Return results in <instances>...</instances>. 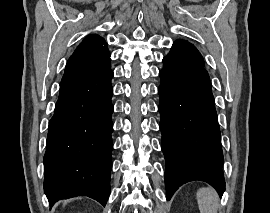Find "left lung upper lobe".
Here are the masks:
<instances>
[{"label":"left lung upper lobe","mask_w":270,"mask_h":213,"mask_svg":"<svg viewBox=\"0 0 270 213\" xmlns=\"http://www.w3.org/2000/svg\"><path fill=\"white\" fill-rule=\"evenodd\" d=\"M164 69H204L202 55L194 45L185 40H176L167 56L163 58Z\"/></svg>","instance_id":"1"}]
</instances>
